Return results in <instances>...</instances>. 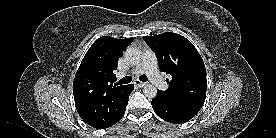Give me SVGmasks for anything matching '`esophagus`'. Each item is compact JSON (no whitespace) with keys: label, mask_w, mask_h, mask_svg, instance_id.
<instances>
[{"label":"esophagus","mask_w":276,"mask_h":138,"mask_svg":"<svg viewBox=\"0 0 276 138\" xmlns=\"http://www.w3.org/2000/svg\"><path fill=\"white\" fill-rule=\"evenodd\" d=\"M134 84L139 86V87H144L147 83L146 82H141L139 80H135Z\"/></svg>","instance_id":"esophagus-1"}]
</instances>
